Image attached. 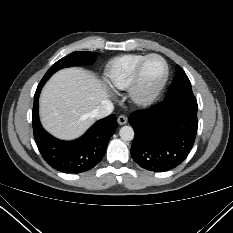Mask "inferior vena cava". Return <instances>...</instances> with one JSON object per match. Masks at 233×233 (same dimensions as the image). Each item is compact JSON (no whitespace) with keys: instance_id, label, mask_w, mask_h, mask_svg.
I'll use <instances>...</instances> for the list:
<instances>
[{"instance_id":"602c4592","label":"inferior vena cava","mask_w":233,"mask_h":233,"mask_svg":"<svg viewBox=\"0 0 233 233\" xmlns=\"http://www.w3.org/2000/svg\"><path fill=\"white\" fill-rule=\"evenodd\" d=\"M113 110V104L110 101L105 100L96 109L91 111L89 115L91 118L101 119L110 115Z\"/></svg>"}]
</instances>
